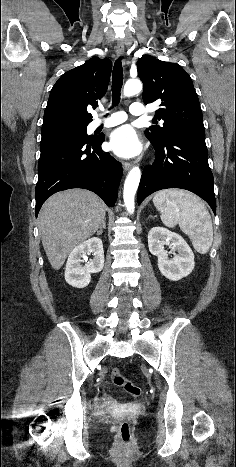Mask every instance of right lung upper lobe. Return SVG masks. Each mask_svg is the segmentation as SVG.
<instances>
[{
  "label": "right lung upper lobe",
  "mask_w": 236,
  "mask_h": 467,
  "mask_svg": "<svg viewBox=\"0 0 236 467\" xmlns=\"http://www.w3.org/2000/svg\"><path fill=\"white\" fill-rule=\"evenodd\" d=\"M112 62L93 57L64 73L54 84L44 112L42 131L87 126L92 115L88 105H98L108 88Z\"/></svg>",
  "instance_id": "1"
}]
</instances>
